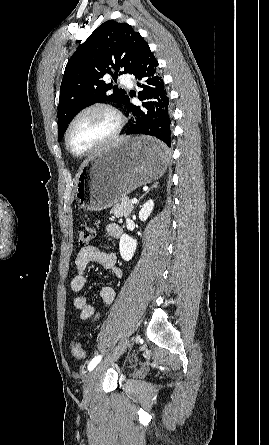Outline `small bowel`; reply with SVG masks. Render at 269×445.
I'll use <instances>...</instances> for the list:
<instances>
[{"label": "small bowel", "mask_w": 269, "mask_h": 445, "mask_svg": "<svg viewBox=\"0 0 269 445\" xmlns=\"http://www.w3.org/2000/svg\"><path fill=\"white\" fill-rule=\"evenodd\" d=\"M105 232L109 237L118 239L122 236V228L117 223H108ZM90 263H98L112 274L120 277L121 269L117 265V256L110 251H102L94 246H87L79 250L75 257L74 269L75 273L71 280L70 287L74 293H79L85 286L87 281V269ZM105 307H108L115 298V291L110 286H104L99 290ZM73 306L79 311L81 320H95L99 317L96 308L88 303L84 296L77 295L73 299Z\"/></svg>", "instance_id": "small-bowel-1"}]
</instances>
